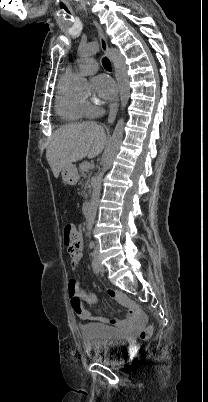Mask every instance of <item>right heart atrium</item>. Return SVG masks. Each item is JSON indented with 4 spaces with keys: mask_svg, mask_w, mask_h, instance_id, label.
<instances>
[{
    "mask_svg": "<svg viewBox=\"0 0 208 402\" xmlns=\"http://www.w3.org/2000/svg\"><path fill=\"white\" fill-rule=\"evenodd\" d=\"M85 113L88 119L97 118L102 112L101 103L98 101H91L87 98L84 99Z\"/></svg>",
    "mask_w": 208,
    "mask_h": 402,
    "instance_id": "1",
    "label": "right heart atrium"
}]
</instances>
